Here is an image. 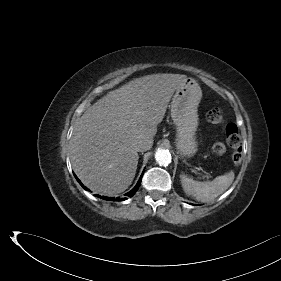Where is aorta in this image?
Returning a JSON list of instances; mask_svg holds the SVG:
<instances>
[{
  "label": "aorta",
  "instance_id": "obj_1",
  "mask_svg": "<svg viewBox=\"0 0 281 281\" xmlns=\"http://www.w3.org/2000/svg\"><path fill=\"white\" fill-rule=\"evenodd\" d=\"M155 159L159 165H168L171 162V154L168 150L158 149L155 153Z\"/></svg>",
  "mask_w": 281,
  "mask_h": 281
}]
</instances>
